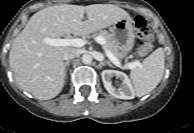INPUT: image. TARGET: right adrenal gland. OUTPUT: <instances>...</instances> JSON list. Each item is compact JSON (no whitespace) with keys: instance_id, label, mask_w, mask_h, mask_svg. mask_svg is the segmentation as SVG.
Returning <instances> with one entry per match:
<instances>
[{"instance_id":"1","label":"right adrenal gland","mask_w":194,"mask_h":133,"mask_svg":"<svg viewBox=\"0 0 194 133\" xmlns=\"http://www.w3.org/2000/svg\"><path fill=\"white\" fill-rule=\"evenodd\" d=\"M69 64H70V61H67V62L64 63V65H65V73L68 70Z\"/></svg>"}]
</instances>
